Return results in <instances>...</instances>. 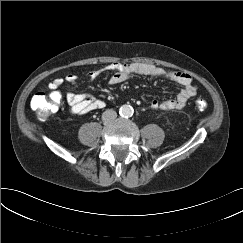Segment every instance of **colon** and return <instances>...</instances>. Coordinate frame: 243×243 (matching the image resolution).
Masks as SVG:
<instances>
[{
	"label": "colon",
	"mask_w": 243,
	"mask_h": 243,
	"mask_svg": "<svg viewBox=\"0 0 243 243\" xmlns=\"http://www.w3.org/2000/svg\"><path fill=\"white\" fill-rule=\"evenodd\" d=\"M61 102L60 92H50L49 94L37 93L31 100V107L37 115L44 119L55 113ZM195 105L199 110H205L207 103L203 99H197Z\"/></svg>",
	"instance_id": "1"
}]
</instances>
